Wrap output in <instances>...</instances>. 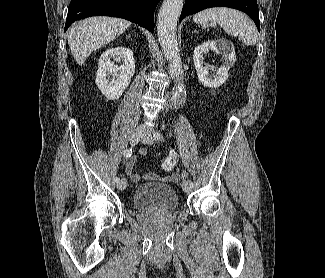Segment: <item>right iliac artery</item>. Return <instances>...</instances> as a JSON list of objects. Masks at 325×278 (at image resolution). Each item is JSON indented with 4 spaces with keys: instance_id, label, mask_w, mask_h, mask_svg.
<instances>
[{
    "instance_id": "right-iliac-artery-1",
    "label": "right iliac artery",
    "mask_w": 325,
    "mask_h": 278,
    "mask_svg": "<svg viewBox=\"0 0 325 278\" xmlns=\"http://www.w3.org/2000/svg\"><path fill=\"white\" fill-rule=\"evenodd\" d=\"M132 153H133L132 148H129V149H126V150L123 152V156L127 158V157H130V156L132 155ZM114 181H115L116 183H119L120 179H119L118 177H115Z\"/></svg>"
}]
</instances>
